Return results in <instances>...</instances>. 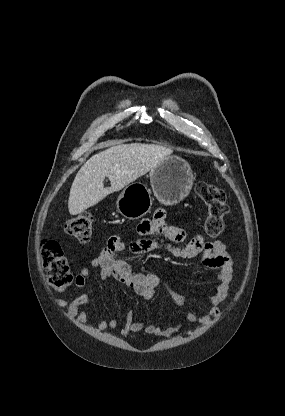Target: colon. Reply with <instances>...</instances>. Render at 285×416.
<instances>
[{
    "label": "colon",
    "instance_id": "5ec220e1",
    "mask_svg": "<svg viewBox=\"0 0 285 416\" xmlns=\"http://www.w3.org/2000/svg\"><path fill=\"white\" fill-rule=\"evenodd\" d=\"M196 194L205 204L207 216L204 229L207 237L216 239L225 230V216L228 211L225 193L217 186L200 182L196 186ZM94 218L89 213L80 214L65 224L67 234L79 242H87L92 236ZM44 266L48 270L50 285L58 291L65 290L73 281L71 267L60 244L53 240H45L41 246Z\"/></svg>",
    "mask_w": 285,
    "mask_h": 416
}]
</instances>
